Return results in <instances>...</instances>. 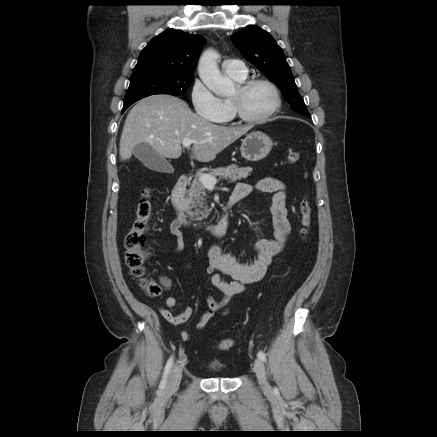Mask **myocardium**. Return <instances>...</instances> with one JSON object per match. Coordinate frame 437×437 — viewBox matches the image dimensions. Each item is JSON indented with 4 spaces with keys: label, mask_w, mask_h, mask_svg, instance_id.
I'll use <instances>...</instances> for the list:
<instances>
[{
    "label": "myocardium",
    "mask_w": 437,
    "mask_h": 437,
    "mask_svg": "<svg viewBox=\"0 0 437 437\" xmlns=\"http://www.w3.org/2000/svg\"><path fill=\"white\" fill-rule=\"evenodd\" d=\"M258 84H264L268 86L274 95V104L272 108L264 115L260 117L248 116L242 109L241 104L238 99L230 98V105L232 109L233 116L241 122L248 124H260L268 121L281 107V95L277 86L270 80L264 78H252L247 79L239 83L238 88L241 93H244L251 89L253 86Z\"/></svg>",
    "instance_id": "myocardium-1"
}]
</instances>
